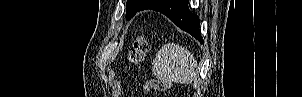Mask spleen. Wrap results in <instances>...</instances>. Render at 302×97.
<instances>
[{
	"label": "spleen",
	"mask_w": 302,
	"mask_h": 97,
	"mask_svg": "<svg viewBox=\"0 0 302 97\" xmlns=\"http://www.w3.org/2000/svg\"><path fill=\"white\" fill-rule=\"evenodd\" d=\"M152 71L162 81L184 84L193 82L198 74L194 55L173 43L164 45L158 52Z\"/></svg>",
	"instance_id": "3e777b00"
}]
</instances>
